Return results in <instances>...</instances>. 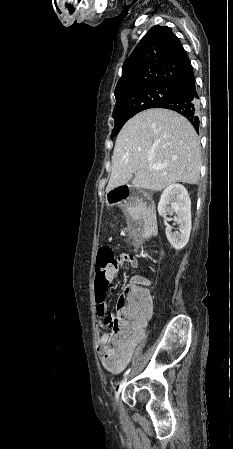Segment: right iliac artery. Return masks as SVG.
<instances>
[{"label":"right iliac artery","instance_id":"1","mask_svg":"<svg viewBox=\"0 0 233 449\" xmlns=\"http://www.w3.org/2000/svg\"><path fill=\"white\" fill-rule=\"evenodd\" d=\"M130 372V369H128L125 373H124V377L127 376Z\"/></svg>","mask_w":233,"mask_h":449}]
</instances>
